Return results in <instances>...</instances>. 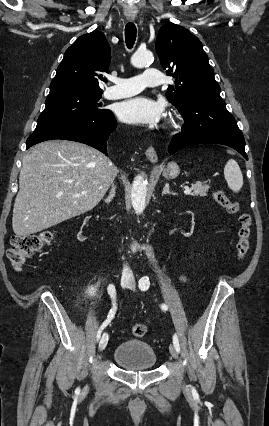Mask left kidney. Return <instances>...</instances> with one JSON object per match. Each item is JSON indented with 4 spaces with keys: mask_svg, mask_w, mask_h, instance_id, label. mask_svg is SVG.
Here are the masks:
<instances>
[{
    "mask_svg": "<svg viewBox=\"0 0 269 426\" xmlns=\"http://www.w3.org/2000/svg\"><path fill=\"white\" fill-rule=\"evenodd\" d=\"M188 213L191 215V220L189 221L190 226L188 227V230H182L181 233L185 236V237H190L193 233L194 230V213L191 211H188Z\"/></svg>",
    "mask_w": 269,
    "mask_h": 426,
    "instance_id": "left-kidney-1",
    "label": "left kidney"
}]
</instances>
